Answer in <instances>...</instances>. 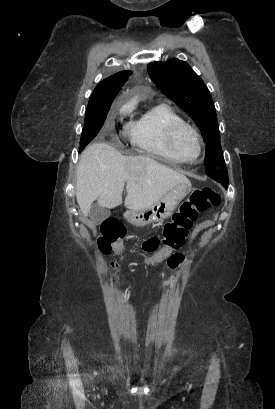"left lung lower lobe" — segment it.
<instances>
[{"instance_id":"1","label":"left lung lower lobe","mask_w":275,"mask_h":409,"mask_svg":"<svg viewBox=\"0 0 275 409\" xmlns=\"http://www.w3.org/2000/svg\"><path fill=\"white\" fill-rule=\"evenodd\" d=\"M221 183V182H220ZM224 187H225V189H227L228 188V184H225V183H221Z\"/></svg>"}]
</instances>
